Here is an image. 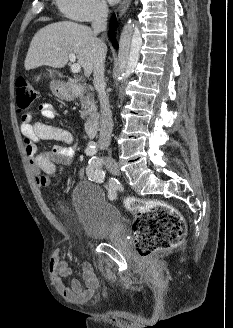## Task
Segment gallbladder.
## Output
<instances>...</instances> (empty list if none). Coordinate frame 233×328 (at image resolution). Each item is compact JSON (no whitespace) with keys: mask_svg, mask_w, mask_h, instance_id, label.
<instances>
[{"mask_svg":"<svg viewBox=\"0 0 233 328\" xmlns=\"http://www.w3.org/2000/svg\"><path fill=\"white\" fill-rule=\"evenodd\" d=\"M53 75H54V74H53V72H52L51 70H48V71H47V75L44 74V76L49 77V78H52ZM35 79H36V81H39V80L41 79V75L37 76Z\"/></svg>","mask_w":233,"mask_h":328,"instance_id":"bac80fb5","label":"gallbladder"}]
</instances>
